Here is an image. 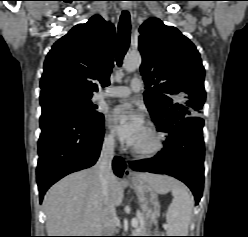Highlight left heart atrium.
Instances as JSON below:
<instances>
[{
	"instance_id": "39dd6f15",
	"label": "left heart atrium",
	"mask_w": 248,
	"mask_h": 237,
	"mask_svg": "<svg viewBox=\"0 0 248 237\" xmlns=\"http://www.w3.org/2000/svg\"><path fill=\"white\" fill-rule=\"evenodd\" d=\"M108 120L121 141L129 146H135L146 131L143 115L129 104L116 106Z\"/></svg>"
}]
</instances>
